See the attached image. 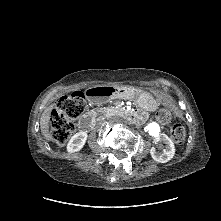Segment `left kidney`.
I'll use <instances>...</instances> for the list:
<instances>
[{"mask_svg": "<svg viewBox=\"0 0 221 221\" xmlns=\"http://www.w3.org/2000/svg\"><path fill=\"white\" fill-rule=\"evenodd\" d=\"M160 140L165 144V149L159 152L155 147H152L150 149V155L156 162L166 163L173 158L175 146L173 141L166 134H163Z\"/></svg>", "mask_w": 221, "mask_h": 221, "instance_id": "obj_1", "label": "left kidney"}]
</instances>
